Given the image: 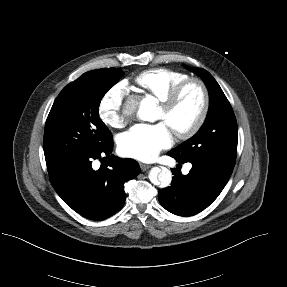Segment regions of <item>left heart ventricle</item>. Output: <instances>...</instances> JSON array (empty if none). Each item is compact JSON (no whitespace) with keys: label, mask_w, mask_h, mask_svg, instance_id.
<instances>
[{"label":"left heart ventricle","mask_w":287,"mask_h":287,"mask_svg":"<svg viewBox=\"0 0 287 287\" xmlns=\"http://www.w3.org/2000/svg\"><path fill=\"white\" fill-rule=\"evenodd\" d=\"M202 106V96L197 86L192 85L184 92L175 110L165 115L160 108L158 119L162 120L172 131L184 130L197 119Z\"/></svg>","instance_id":"b2bd125f"}]
</instances>
